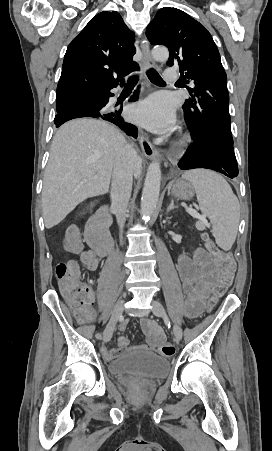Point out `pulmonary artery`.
I'll use <instances>...</instances> for the list:
<instances>
[{
	"mask_svg": "<svg viewBox=\"0 0 272 451\" xmlns=\"http://www.w3.org/2000/svg\"><path fill=\"white\" fill-rule=\"evenodd\" d=\"M177 72V67L175 65H170L162 72V77L167 81H170L171 84L176 85L179 82L178 77L175 76ZM116 97V96H115ZM113 97L112 99H115Z\"/></svg>",
	"mask_w": 272,
	"mask_h": 451,
	"instance_id": "obj_1",
	"label": "pulmonary artery"
}]
</instances>
